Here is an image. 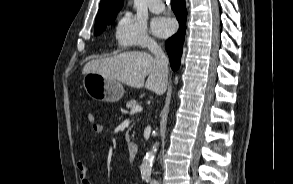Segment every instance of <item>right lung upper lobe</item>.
Masks as SVG:
<instances>
[{
    "label": "right lung upper lobe",
    "instance_id": "cb5924a9",
    "mask_svg": "<svg viewBox=\"0 0 293 184\" xmlns=\"http://www.w3.org/2000/svg\"><path fill=\"white\" fill-rule=\"evenodd\" d=\"M124 0H101L95 26L114 21Z\"/></svg>",
    "mask_w": 293,
    "mask_h": 184
}]
</instances>
